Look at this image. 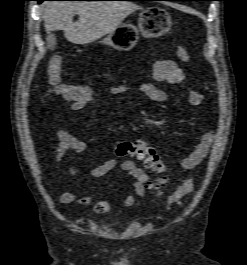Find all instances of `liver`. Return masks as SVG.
Listing matches in <instances>:
<instances>
[{
  "instance_id": "obj_1",
  "label": "liver",
  "mask_w": 247,
  "mask_h": 265,
  "mask_svg": "<svg viewBox=\"0 0 247 265\" xmlns=\"http://www.w3.org/2000/svg\"><path fill=\"white\" fill-rule=\"evenodd\" d=\"M138 9L128 1H52L44 3L43 20L47 32L63 30L69 42L84 45L114 31ZM76 14L79 20L73 22Z\"/></svg>"
}]
</instances>
